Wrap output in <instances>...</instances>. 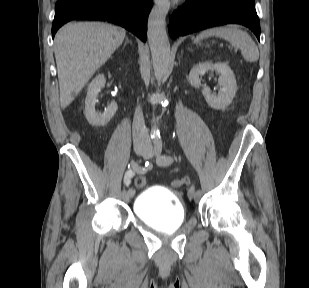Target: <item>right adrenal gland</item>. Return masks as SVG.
Returning a JSON list of instances; mask_svg holds the SVG:
<instances>
[{
  "instance_id": "1",
  "label": "right adrenal gland",
  "mask_w": 309,
  "mask_h": 288,
  "mask_svg": "<svg viewBox=\"0 0 309 288\" xmlns=\"http://www.w3.org/2000/svg\"><path fill=\"white\" fill-rule=\"evenodd\" d=\"M128 43H130V44L132 45V41H130L128 38H126V41H125V43H124L123 48H125V46H126Z\"/></svg>"
}]
</instances>
